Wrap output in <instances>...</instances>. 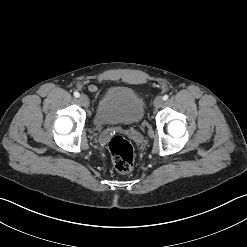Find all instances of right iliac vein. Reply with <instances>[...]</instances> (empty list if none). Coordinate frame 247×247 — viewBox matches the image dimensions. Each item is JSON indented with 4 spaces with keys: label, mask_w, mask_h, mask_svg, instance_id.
Returning a JSON list of instances; mask_svg holds the SVG:
<instances>
[{
    "label": "right iliac vein",
    "mask_w": 247,
    "mask_h": 247,
    "mask_svg": "<svg viewBox=\"0 0 247 247\" xmlns=\"http://www.w3.org/2000/svg\"><path fill=\"white\" fill-rule=\"evenodd\" d=\"M79 101L83 106H87L89 101H88V97L84 94L79 96Z\"/></svg>",
    "instance_id": "right-iliac-vein-1"
}]
</instances>
